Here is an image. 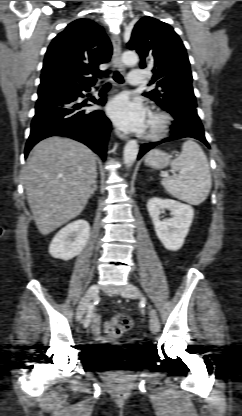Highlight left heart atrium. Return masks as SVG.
Wrapping results in <instances>:
<instances>
[{
    "mask_svg": "<svg viewBox=\"0 0 242 416\" xmlns=\"http://www.w3.org/2000/svg\"><path fill=\"white\" fill-rule=\"evenodd\" d=\"M106 111L115 124L123 130L141 132L147 124L148 111L139 100H132L127 94L114 97Z\"/></svg>",
    "mask_w": 242,
    "mask_h": 416,
    "instance_id": "obj_1",
    "label": "left heart atrium"
}]
</instances>
